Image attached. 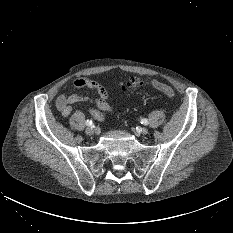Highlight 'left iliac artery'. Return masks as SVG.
<instances>
[{"instance_id":"left-iliac-artery-1","label":"left iliac artery","mask_w":233,"mask_h":233,"mask_svg":"<svg viewBox=\"0 0 233 233\" xmlns=\"http://www.w3.org/2000/svg\"><path fill=\"white\" fill-rule=\"evenodd\" d=\"M141 123L144 124V125H148L149 122H148L147 119H142V120H141Z\"/></svg>"}]
</instances>
